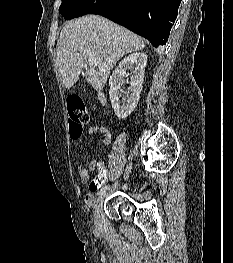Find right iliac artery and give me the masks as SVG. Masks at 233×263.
I'll list each match as a JSON object with an SVG mask.
<instances>
[{
    "label": "right iliac artery",
    "mask_w": 233,
    "mask_h": 263,
    "mask_svg": "<svg viewBox=\"0 0 233 263\" xmlns=\"http://www.w3.org/2000/svg\"><path fill=\"white\" fill-rule=\"evenodd\" d=\"M107 189H108V186H104V187L100 190L99 194H100V195H101V194H104Z\"/></svg>",
    "instance_id": "82829eb1"
}]
</instances>
